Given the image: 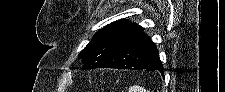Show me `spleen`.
<instances>
[{
    "label": "spleen",
    "mask_w": 225,
    "mask_h": 92,
    "mask_svg": "<svg viewBox=\"0 0 225 92\" xmlns=\"http://www.w3.org/2000/svg\"><path fill=\"white\" fill-rule=\"evenodd\" d=\"M130 91L131 92H147V90L143 87H138V86H135V87H131L130 88Z\"/></svg>",
    "instance_id": "3e777b00"
}]
</instances>
